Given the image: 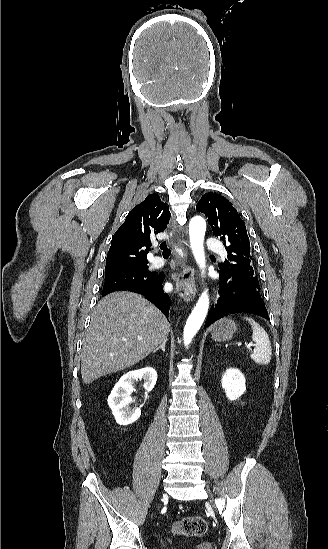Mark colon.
Listing matches in <instances>:
<instances>
[{
	"label": "colon",
	"instance_id": "1",
	"mask_svg": "<svg viewBox=\"0 0 328 549\" xmlns=\"http://www.w3.org/2000/svg\"><path fill=\"white\" fill-rule=\"evenodd\" d=\"M207 528V522L203 517L187 516L174 523L172 533L184 537H197L205 534Z\"/></svg>",
	"mask_w": 328,
	"mask_h": 549
}]
</instances>
